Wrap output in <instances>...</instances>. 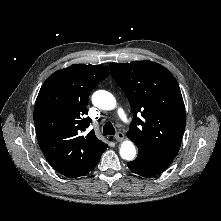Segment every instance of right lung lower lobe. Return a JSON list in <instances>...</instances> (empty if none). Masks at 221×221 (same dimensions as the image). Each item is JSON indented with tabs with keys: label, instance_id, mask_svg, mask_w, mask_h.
<instances>
[{
	"label": "right lung lower lobe",
	"instance_id": "obj_1",
	"mask_svg": "<svg viewBox=\"0 0 221 221\" xmlns=\"http://www.w3.org/2000/svg\"><path fill=\"white\" fill-rule=\"evenodd\" d=\"M100 157H101V156H99V157L92 163V165L88 168V170H87L83 175L89 173L91 170H93V169L95 168V166L97 165L98 161L100 160Z\"/></svg>",
	"mask_w": 221,
	"mask_h": 221
}]
</instances>
